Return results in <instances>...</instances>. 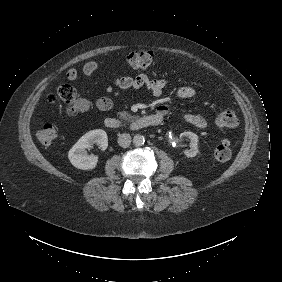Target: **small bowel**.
I'll return each instance as SVG.
<instances>
[{
    "mask_svg": "<svg viewBox=\"0 0 282 282\" xmlns=\"http://www.w3.org/2000/svg\"><path fill=\"white\" fill-rule=\"evenodd\" d=\"M98 68L99 64L96 61H88L84 64L82 73L85 76H92ZM78 76L79 72L76 68H70L66 73V77L70 81H75ZM167 86V80L153 79L146 74H140L135 77H118L115 78L112 85L107 88V92L112 94L113 97H100L93 100L84 98L77 99L68 107V113L70 115H76L92 109L101 111L110 110L114 106V99L121 97L124 93L140 88H146L155 98L160 99ZM176 97L179 99H193L197 97V91L193 87L183 86L177 90ZM166 113V108L159 106L154 114H159L164 118ZM180 116L183 121L196 128L205 129L208 127L207 119L199 114L183 112Z\"/></svg>",
    "mask_w": 282,
    "mask_h": 282,
    "instance_id": "c3829d8e",
    "label": "small bowel"
}]
</instances>
